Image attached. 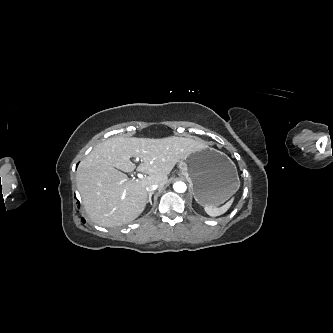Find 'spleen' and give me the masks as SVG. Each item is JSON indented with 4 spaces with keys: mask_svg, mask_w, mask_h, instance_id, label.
<instances>
[{
    "mask_svg": "<svg viewBox=\"0 0 333 333\" xmlns=\"http://www.w3.org/2000/svg\"><path fill=\"white\" fill-rule=\"evenodd\" d=\"M240 186V181L238 179V188ZM233 203V199H231L230 201H228L225 205L221 206V207H213V206H205V212L213 217L219 216L224 214L232 205Z\"/></svg>",
    "mask_w": 333,
    "mask_h": 333,
    "instance_id": "obj_1",
    "label": "spleen"
}]
</instances>
